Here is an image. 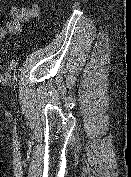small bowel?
Wrapping results in <instances>:
<instances>
[{
	"label": "small bowel",
	"mask_w": 131,
	"mask_h": 177,
	"mask_svg": "<svg viewBox=\"0 0 131 177\" xmlns=\"http://www.w3.org/2000/svg\"><path fill=\"white\" fill-rule=\"evenodd\" d=\"M38 14L39 6L35 2H31L27 7H12L5 25L0 26V41L8 34L20 33L23 24L29 23Z\"/></svg>",
	"instance_id": "obj_1"
}]
</instances>
